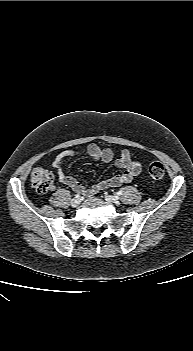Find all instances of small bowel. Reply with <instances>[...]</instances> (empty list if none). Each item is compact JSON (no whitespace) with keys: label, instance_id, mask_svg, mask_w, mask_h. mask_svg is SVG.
<instances>
[{"label":"small bowel","instance_id":"obj_1","mask_svg":"<svg viewBox=\"0 0 193 351\" xmlns=\"http://www.w3.org/2000/svg\"><path fill=\"white\" fill-rule=\"evenodd\" d=\"M86 153L94 161L103 163H111L121 169L122 172L107 179H103L86 187L80 184L76 179L67 176L61 169V164L64 160ZM52 167L57 176V181L60 184L68 186L73 191L82 195H94L101 190L118 187L122 184L131 182L141 172V165L138 161L131 158L128 150H123L117 157L110 148H102L97 144H90L83 150L67 149L60 152L53 160Z\"/></svg>","mask_w":193,"mask_h":351}]
</instances>
